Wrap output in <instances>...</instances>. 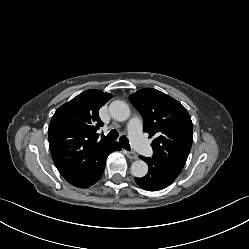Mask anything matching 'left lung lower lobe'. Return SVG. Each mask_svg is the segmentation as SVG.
Instances as JSON below:
<instances>
[{"mask_svg":"<svg viewBox=\"0 0 249 249\" xmlns=\"http://www.w3.org/2000/svg\"><path fill=\"white\" fill-rule=\"evenodd\" d=\"M148 166L149 171L145 177L135 178L136 183L145 190L158 191L169 186L179 175V172L160 166L152 158L140 156Z\"/></svg>","mask_w":249,"mask_h":249,"instance_id":"left-lung-lower-lobe-1","label":"left lung lower lobe"}]
</instances>
